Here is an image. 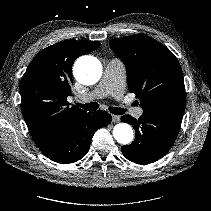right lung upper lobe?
Here are the masks:
<instances>
[{
  "instance_id": "right-lung-upper-lobe-1",
  "label": "right lung upper lobe",
  "mask_w": 211,
  "mask_h": 211,
  "mask_svg": "<svg viewBox=\"0 0 211 211\" xmlns=\"http://www.w3.org/2000/svg\"><path fill=\"white\" fill-rule=\"evenodd\" d=\"M97 41L69 40L40 51L20 83L21 109L32 138L41 150L48 146L82 109L69 108L72 65L76 58L96 50Z\"/></svg>"
}]
</instances>
